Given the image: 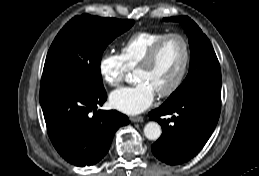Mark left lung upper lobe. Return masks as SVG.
<instances>
[{"mask_svg":"<svg viewBox=\"0 0 259 176\" xmlns=\"http://www.w3.org/2000/svg\"><path fill=\"white\" fill-rule=\"evenodd\" d=\"M164 20L182 24L189 37L191 50L189 73L164 104H174L199 94L221 98L220 65L209 39L187 16L170 17Z\"/></svg>","mask_w":259,"mask_h":176,"instance_id":"left-lung-upper-lobe-1","label":"left lung upper lobe"}]
</instances>
